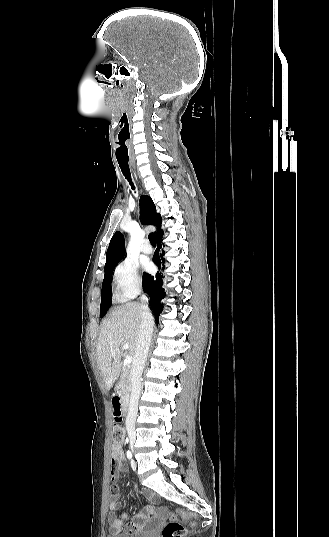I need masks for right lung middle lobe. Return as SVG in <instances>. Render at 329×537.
Here are the masks:
<instances>
[{"label": "right lung middle lobe", "instance_id": "dd1d6c3e", "mask_svg": "<svg viewBox=\"0 0 329 537\" xmlns=\"http://www.w3.org/2000/svg\"><path fill=\"white\" fill-rule=\"evenodd\" d=\"M116 265L117 263H114L104 269L105 274H104V280L102 283V297H101V305H100L101 316H104L106 314L108 308L112 304L110 280H111V276Z\"/></svg>", "mask_w": 329, "mask_h": 537}]
</instances>
